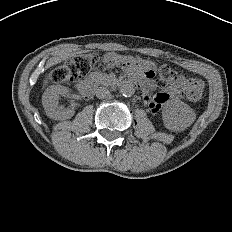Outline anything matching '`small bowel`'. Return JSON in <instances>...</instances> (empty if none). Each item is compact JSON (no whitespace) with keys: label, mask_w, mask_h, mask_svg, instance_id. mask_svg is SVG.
<instances>
[{"label":"small bowel","mask_w":232,"mask_h":232,"mask_svg":"<svg viewBox=\"0 0 232 232\" xmlns=\"http://www.w3.org/2000/svg\"><path fill=\"white\" fill-rule=\"evenodd\" d=\"M104 62L109 67L122 66L126 68H136L141 71L144 77L142 81L144 99L149 108L154 112H157L169 99L176 100L182 97L186 91L187 82L189 81L184 77H179L177 81L168 88V90L160 91L156 95L152 96L151 90L153 88V83L150 78L153 75L154 67L150 61L135 55L109 54L105 57Z\"/></svg>","instance_id":"obj_1"}]
</instances>
